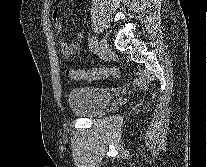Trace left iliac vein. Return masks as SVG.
<instances>
[{"label": "left iliac vein", "instance_id": "1", "mask_svg": "<svg viewBox=\"0 0 207 167\" xmlns=\"http://www.w3.org/2000/svg\"><path fill=\"white\" fill-rule=\"evenodd\" d=\"M98 51L100 56H104L109 51V46L106 38H101L98 43Z\"/></svg>", "mask_w": 207, "mask_h": 167}]
</instances>
